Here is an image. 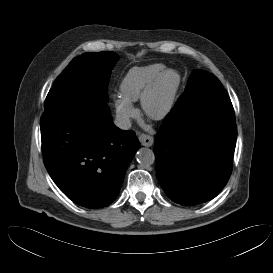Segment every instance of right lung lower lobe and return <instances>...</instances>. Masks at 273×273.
I'll use <instances>...</instances> for the list:
<instances>
[{"label": "right lung lower lobe", "instance_id": "98d812e1", "mask_svg": "<svg viewBox=\"0 0 273 273\" xmlns=\"http://www.w3.org/2000/svg\"><path fill=\"white\" fill-rule=\"evenodd\" d=\"M45 167L60 190L76 204H111L139 148L134 131L112 122L106 101L90 94L54 103L41 117Z\"/></svg>", "mask_w": 273, "mask_h": 273}]
</instances>
